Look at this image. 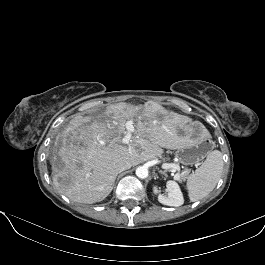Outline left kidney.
<instances>
[{
    "label": "left kidney",
    "mask_w": 265,
    "mask_h": 265,
    "mask_svg": "<svg viewBox=\"0 0 265 265\" xmlns=\"http://www.w3.org/2000/svg\"><path fill=\"white\" fill-rule=\"evenodd\" d=\"M167 196L160 193L157 187H154V193L158 195V201L167 206L179 207L184 203L183 194L177 182L168 180L166 183Z\"/></svg>",
    "instance_id": "1"
}]
</instances>
